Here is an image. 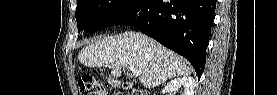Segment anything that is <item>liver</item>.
I'll use <instances>...</instances> for the list:
<instances>
[{
  "mask_svg": "<svg viewBox=\"0 0 277 95\" xmlns=\"http://www.w3.org/2000/svg\"><path fill=\"white\" fill-rule=\"evenodd\" d=\"M78 60L90 68L108 66L116 78L121 76L123 68L132 66L142 72L140 81L146 88L190 74L183 58L152 38L133 31L104 37L85 46L79 52Z\"/></svg>",
  "mask_w": 277,
  "mask_h": 95,
  "instance_id": "obj_1",
  "label": "liver"
}]
</instances>
